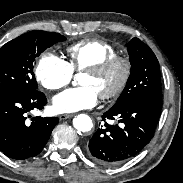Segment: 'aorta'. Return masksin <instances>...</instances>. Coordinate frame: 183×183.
Wrapping results in <instances>:
<instances>
[{"label": "aorta", "instance_id": "obj_1", "mask_svg": "<svg viewBox=\"0 0 183 183\" xmlns=\"http://www.w3.org/2000/svg\"><path fill=\"white\" fill-rule=\"evenodd\" d=\"M73 126L79 132H88L93 127L92 119L86 114H79L73 119Z\"/></svg>", "mask_w": 183, "mask_h": 183}]
</instances>
